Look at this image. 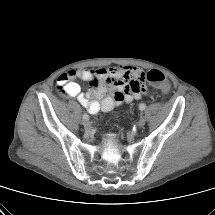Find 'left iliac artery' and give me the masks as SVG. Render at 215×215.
Wrapping results in <instances>:
<instances>
[{
    "label": "left iliac artery",
    "instance_id": "left-iliac-artery-1",
    "mask_svg": "<svg viewBox=\"0 0 215 215\" xmlns=\"http://www.w3.org/2000/svg\"><path fill=\"white\" fill-rule=\"evenodd\" d=\"M145 108H146V104L141 103V104L139 105V109H140L141 111L145 110Z\"/></svg>",
    "mask_w": 215,
    "mask_h": 215
}]
</instances>
